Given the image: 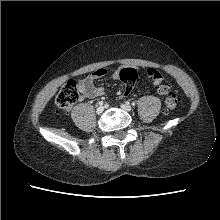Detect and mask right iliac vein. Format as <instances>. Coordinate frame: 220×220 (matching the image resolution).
Here are the masks:
<instances>
[{
	"instance_id": "right-iliac-vein-1",
	"label": "right iliac vein",
	"mask_w": 220,
	"mask_h": 220,
	"mask_svg": "<svg viewBox=\"0 0 220 220\" xmlns=\"http://www.w3.org/2000/svg\"><path fill=\"white\" fill-rule=\"evenodd\" d=\"M104 111V107L103 106H98L97 109H96V113L97 114H102Z\"/></svg>"
}]
</instances>
